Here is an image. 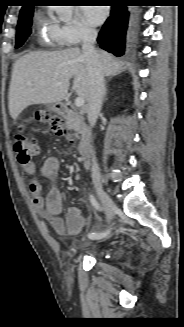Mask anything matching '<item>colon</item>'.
Masks as SVG:
<instances>
[{"label": "colon", "instance_id": "obj_1", "mask_svg": "<svg viewBox=\"0 0 184 327\" xmlns=\"http://www.w3.org/2000/svg\"><path fill=\"white\" fill-rule=\"evenodd\" d=\"M36 119L37 121L48 123L51 131L57 136H65L67 134L63 120L58 116H51L45 111H40L36 114ZM12 145L17 159L22 165L31 162V159L38 155L40 151L38 141L22 132H18L13 136Z\"/></svg>", "mask_w": 184, "mask_h": 327}]
</instances>
